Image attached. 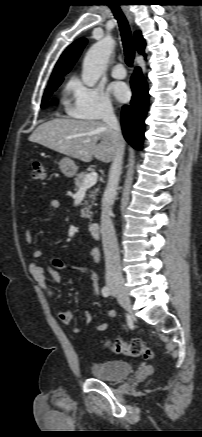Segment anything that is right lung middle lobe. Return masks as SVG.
I'll return each instance as SVG.
<instances>
[{
	"instance_id": "dd1d6c3e",
	"label": "right lung middle lobe",
	"mask_w": 202,
	"mask_h": 437,
	"mask_svg": "<svg viewBox=\"0 0 202 437\" xmlns=\"http://www.w3.org/2000/svg\"><path fill=\"white\" fill-rule=\"evenodd\" d=\"M62 81H63V79L55 81V82L49 84V86L47 87V89H46V91L44 93L41 107H44V105L46 104L49 96L58 88V86L62 83Z\"/></svg>"
}]
</instances>
